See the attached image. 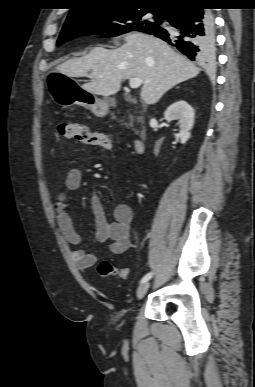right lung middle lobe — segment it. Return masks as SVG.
<instances>
[{
  "label": "right lung middle lobe",
  "instance_id": "obj_1",
  "mask_svg": "<svg viewBox=\"0 0 255 387\" xmlns=\"http://www.w3.org/2000/svg\"><path fill=\"white\" fill-rule=\"evenodd\" d=\"M153 13L154 21L146 20L145 15ZM165 11L159 8H141L122 6L112 9L97 10L82 16L76 21L65 23L57 41V46L78 36L102 34L103 37H114L129 31H144L149 27L160 26Z\"/></svg>",
  "mask_w": 255,
  "mask_h": 387
}]
</instances>
